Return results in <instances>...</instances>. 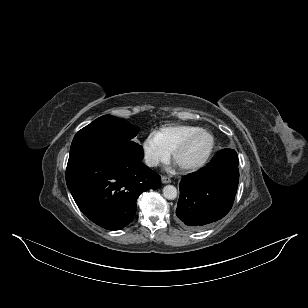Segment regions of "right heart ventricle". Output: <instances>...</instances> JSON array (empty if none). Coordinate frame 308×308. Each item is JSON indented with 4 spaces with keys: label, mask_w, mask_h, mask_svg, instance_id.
Returning <instances> with one entry per match:
<instances>
[{
    "label": "right heart ventricle",
    "mask_w": 308,
    "mask_h": 308,
    "mask_svg": "<svg viewBox=\"0 0 308 308\" xmlns=\"http://www.w3.org/2000/svg\"><path fill=\"white\" fill-rule=\"evenodd\" d=\"M198 129L200 127L194 125H166L158 129L154 136L169 153H172L187 136Z\"/></svg>",
    "instance_id": "1"
}]
</instances>
